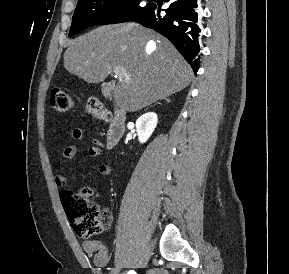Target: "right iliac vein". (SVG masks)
<instances>
[{"mask_svg": "<svg viewBox=\"0 0 289 274\" xmlns=\"http://www.w3.org/2000/svg\"><path fill=\"white\" fill-rule=\"evenodd\" d=\"M119 272H120V267H115L110 270L109 274H119Z\"/></svg>", "mask_w": 289, "mask_h": 274, "instance_id": "1", "label": "right iliac vein"}]
</instances>
